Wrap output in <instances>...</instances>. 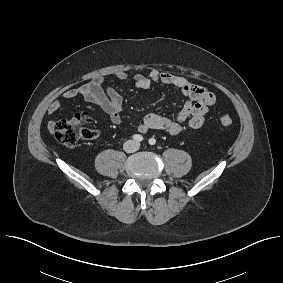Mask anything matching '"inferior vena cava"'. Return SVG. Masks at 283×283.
Listing matches in <instances>:
<instances>
[{"instance_id":"1","label":"inferior vena cava","mask_w":283,"mask_h":283,"mask_svg":"<svg viewBox=\"0 0 283 283\" xmlns=\"http://www.w3.org/2000/svg\"><path fill=\"white\" fill-rule=\"evenodd\" d=\"M138 149V144L135 141H127L124 150L128 153L135 152Z\"/></svg>"}]
</instances>
